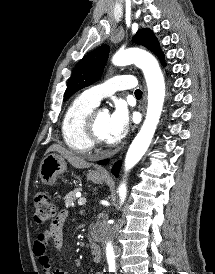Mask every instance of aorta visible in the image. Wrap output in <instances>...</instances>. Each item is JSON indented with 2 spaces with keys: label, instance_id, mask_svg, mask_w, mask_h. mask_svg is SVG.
<instances>
[{
  "label": "aorta",
  "instance_id": "aorta-1",
  "mask_svg": "<svg viewBox=\"0 0 215 274\" xmlns=\"http://www.w3.org/2000/svg\"><path fill=\"white\" fill-rule=\"evenodd\" d=\"M114 65L124 66L135 64L142 69L148 87V106L145 121L132 141L125 158V171L133 168L147 151L163 108L165 98V83L163 74L157 60L148 52L129 48L118 51L112 59ZM126 185L123 183L118 188L121 203L126 198ZM107 262L110 270H115V254L112 241L107 243Z\"/></svg>",
  "mask_w": 215,
  "mask_h": 274
}]
</instances>
